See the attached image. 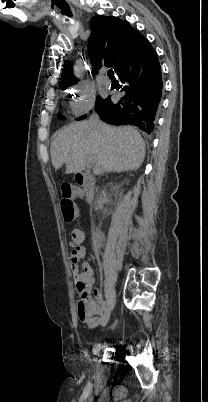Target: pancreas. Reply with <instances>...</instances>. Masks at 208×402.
Segmentation results:
<instances>
[{"mask_svg":"<svg viewBox=\"0 0 208 402\" xmlns=\"http://www.w3.org/2000/svg\"><path fill=\"white\" fill-rule=\"evenodd\" d=\"M84 190H85V194H88V190H86V188H84Z\"/></svg>","mask_w":208,"mask_h":402,"instance_id":"obj_1","label":"pancreas"}]
</instances>
